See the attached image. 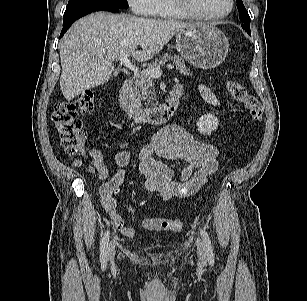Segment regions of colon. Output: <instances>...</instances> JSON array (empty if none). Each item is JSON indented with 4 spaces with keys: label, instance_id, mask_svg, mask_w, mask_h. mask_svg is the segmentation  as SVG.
Here are the masks:
<instances>
[{
    "label": "colon",
    "instance_id": "1",
    "mask_svg": "<svg viewBox=\"0 0 307 301\" xmlns=\"http://www.w3.org/2000/svg\"><path fill=\"white\" fill-rule=\"evenodd\" d=\"M226 88L231 97L248 111L251 120L258 123L263 118V107L254 95L236 80H229ZM95 106V93L91 90L80 93L72 100L62 101L55 106L52 120L61 138L66 153L80 159L85 153V134L80 116L90 112ZM143 227L148 230L178 233L183 228L181 219L145 218Z\"/></svg>",
    "mask_w": 307,
    "mask_h": 301
}]
</instances>
